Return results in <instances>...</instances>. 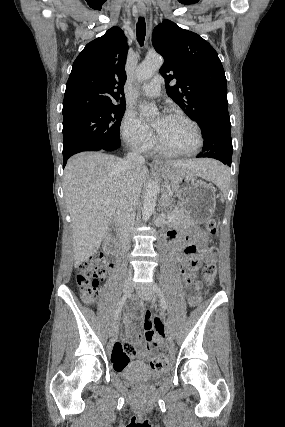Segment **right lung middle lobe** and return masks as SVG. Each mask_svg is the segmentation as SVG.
Segmentation results:
<instances>
[{
  "label": "right lung middle lobe",
  "mask_w": 285,
  "mask_h": 427,
  "mask_svg": "<svg viewBox=\"0 0 285 427\" xmlns=\"http://www.w3.org/2000/svg\"><path fill=\"white\" fill-rule=\"evenodd\" d=\"M126 105H113L63 118V160L84 151H114Z\"/></svg>",
  "instance_id": "dd1d6c3e"
}]
</instances>
